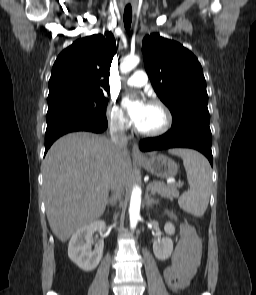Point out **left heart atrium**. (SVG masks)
Masks as SVG:
<instances>
[{
	"instance_id": "obj_1",
	"label": "left heart atrium",
	"mask_w": 256,
	"mask_h": 295,
	"mask_svg": "<svg viewBox=\"0 0 256 295\" xmlns=\"http://www.w3.org/2000/svg\"><path fill=\"white\" fill-rule=\"evenodd\" d=\"M122 104L130 121L137 127L146 114L148 104L142 99H131L129 97H125Z\"/></svg>"
}]
</instances>
